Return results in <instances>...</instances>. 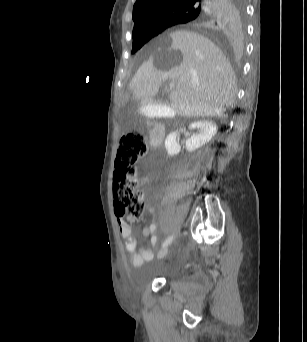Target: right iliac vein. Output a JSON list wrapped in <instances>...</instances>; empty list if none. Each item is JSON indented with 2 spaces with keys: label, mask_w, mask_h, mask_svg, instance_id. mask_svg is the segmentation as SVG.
<instances>
[{
  "label": "right iliac vein",
  "mask_w": 307,
  "mask_h": 342,
  "mask_svg": "<svg viewBox=\"0 0 307 342\" xmlns=\"http://www.w3.org/2000/svg\"><path fill=\"white\" fill-rule=\"evenodd\" d=\"M167 253H168V248L164 247L158 252L157 256L158 258L161 259V258H164L167 255Z\"/></svg>",
  "instance_id": "1"
}]
</instances>
